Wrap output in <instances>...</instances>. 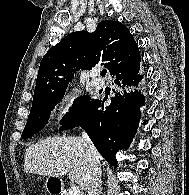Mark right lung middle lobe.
<instances>
[{"label": "right lung middle lobe", "mask_w": 189, "mask_h": 195, "mask_svg": "<svg viewBox=\"0 0 189 195\" xmlns=\"http://www.w3.org/2000/svg\"><path fill=\"white\" fill-rule=\"evenodd\" d=\"M65 91L66 90L32 103L27 124L22 132L23 139L30 138L44 128L48 122L51 111L62 100ZM90 100L91 98L87 95L75 99L69 112L63 116L61 124L72 118Z\"/></svg>", "instance_id": "1"}]
</instances>
